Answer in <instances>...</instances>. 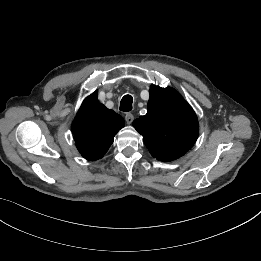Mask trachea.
Segmentation results:
<instances>
[{
  "mask_svg": "<svg viewBox=\"0 0 261 261\" xmlns=\"http://www.w3.org/2000/svg\"><path fill=\"white\" fill-rule=\"evenodd\" d=\"M133 98L130 95H125L120 102V110L128 112L132 110Z\"/></svg>",
  "mask_w": 261,
  "mask_h": 261,
  "instance_id": "obj_1",
  "label": "trachea"
}]
</instances>
